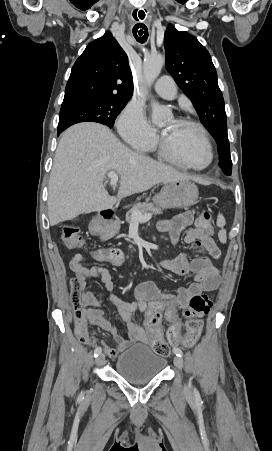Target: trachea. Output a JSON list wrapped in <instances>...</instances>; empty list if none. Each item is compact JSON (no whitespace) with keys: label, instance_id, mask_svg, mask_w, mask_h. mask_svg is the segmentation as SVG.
Returning <instances> with one entry per match:
<instances>
[{"label":"trachea","instance_id":"1","mask_svg":"<svg viewBox=\"0 0 272 451\" xmlns=\"http://www.w3.org/2000/svg\"><path fill=\"white\" fill-rule=\"evenodd\" d=\"M138 20V19H137ZM143 29L144 32L142 33H137L138 29ZM133 35L136 38V40L140 43H145L147 38H148V30L147 27L144 24H137L134 28H133Z\"/></svg>","mask_w":272,"mask_h":451}]
</instances>
